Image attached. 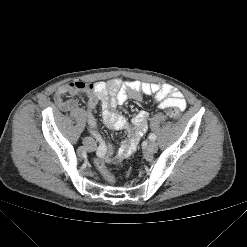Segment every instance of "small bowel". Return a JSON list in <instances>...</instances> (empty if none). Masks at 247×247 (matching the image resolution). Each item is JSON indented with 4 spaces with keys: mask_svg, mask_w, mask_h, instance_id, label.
Returning a JSON list of instances; mask_svg holds the SVG:
<instances>
[{
    "mask_svg": "<svg viewBox=\"0 0 247 247\" xmlns=\"http://www.w3.org/2000/svg\"><path fill=\"white\" fill-rule=\"evenodd\" d=\"M84 93L88 96L87 122L92 128H96L97 121L93 111L97 105L101 106V119L110 130L127 129L126 119L116 111L118 105L128 99L142 100V95H153L161 109L176 108L180 111L186 109L187 103L182 94L168 84L146 83L140 81H123L114 78L106 82L89 84L84 81L68 82L60 86L54 93V101L58 108L64 112L80 113L81 110L75 99L66 100V95L76 96ZM148 113L138 112L133 120V128L129 138L121 143L114 158L111 157L112 149L109 146L104 163H118L129 157L135 150L137 141L143 135L147 126Z\"/></svg>",
    "mask_w": 247,
    "mask_h": 247,
    "instance_id": "obj_1",
    "label": "small bowel"
}]
</instances>
